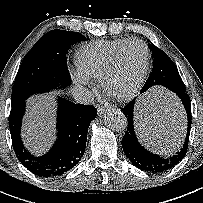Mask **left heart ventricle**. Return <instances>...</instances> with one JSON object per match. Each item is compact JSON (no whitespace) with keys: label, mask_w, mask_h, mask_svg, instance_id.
I'll return each mask as SVG.
<instances>
[{"label":"left heart ventricle","mask_w":203,"mask_h":203,"mask_svg":"<svg viewBox=\"0 0 203 203\" xmlns=\"http://www.w3.org/2000/svg\"><path fill=\"white\" fill-rule=\"evenodd\" d=\"M145 61V52L141 44H130L123 53L121 63L112 81L115 93L128 91L139 76Z\"/></svg>","instance_id":"obj_1"}]
</instances>
